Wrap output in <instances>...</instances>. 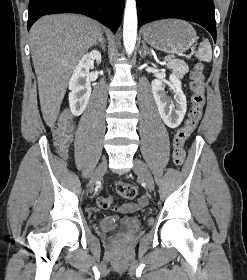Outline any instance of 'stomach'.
I'll return each mask as SVG.
<instances>
[{"mask_svg": "<svg viewBox=\"0 0 247 280\" xmlns=\"http://www.w3.org/2000/svg\"><path fill=\"white\" fill-rule=\"evenodd\" d=\"M143 37L155 49L169 54L183 53L197 40L194 28L180 19L153 22L145 27Z\"/></svg>", "mask_w": 247, "mask_h": 280, "instance_id": "1", "label": "stomach"}]
</instances>
